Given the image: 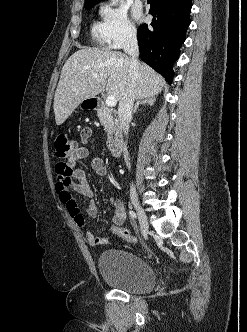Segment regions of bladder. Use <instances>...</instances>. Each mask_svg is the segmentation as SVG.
Here are the masks:
<instances>
[{
    "mask_svg": "<svg viewBox=\"0 0 247 332\" xmlns=\"http://www.w3.org/2000/svg\"><path fill=\"white\" fill-rule=\"evenodd\" d=\"M98 269L108 285L128 293H145L156 284L152 266L144 258L128 250L103 251L98 257Z\"/></svg>",
    "mask_w": 247,
    "mask_h": 332,
    "instance_id": "1",
    "label": "bladder"
}]
</instances>
